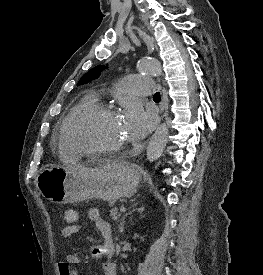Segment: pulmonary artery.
I'll return each mask as SVG.
<instances>
[{"mask_svg":"<svg viewBox=\"0 0 263 275\" xmlns=\"http://www.w3.org/2000/svg\"><path fill=\"white\" fill-rule=\"evenodd\" d=\"M119 89L129 95L147 96L154 92V82L148 77L128 76L122 81Z\"/></svg>","mask_w":263,"mask_h":275,"instance_id":"pulmonary-artery-1","label":"pulmonary artery"}]
</instances>
